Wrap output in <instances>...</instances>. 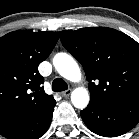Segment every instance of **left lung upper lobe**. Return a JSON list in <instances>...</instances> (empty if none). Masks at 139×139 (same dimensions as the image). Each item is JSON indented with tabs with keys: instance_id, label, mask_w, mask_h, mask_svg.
Returning a JSON list of instances; mask_svg holds the SVG:
<instances>
[{
	"instance_id": "5c2ea615",
	"label": "left lung upper lobe",
	"mask_w": 139,
	"mask_h": 139,
	"mask_svg": "<svg viewBox=\"0 0 139 139\" xmlns=\"http://www.w3.org/2000/svg\"><path fill=\"white\" fill-rule=\"evenodd\" d=\"M63 46L82 64L90 103L113 106L139 100V44L111 28L59 32Z\"/></svg>"
}]
</instances>
